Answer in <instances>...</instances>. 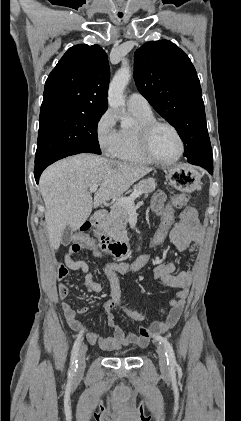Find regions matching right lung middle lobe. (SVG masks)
Returning a JSON list of instances; mask_svg holds the SVG:
<instances>
[{"label":"right lung middle lobe","instance_id":"dd1d6c3e","mask_svg":"<svg viewBox=\"0 0 241 421\" xmlns=\"http://www.w3.org/2000/svg\"><path fill=\"white\" fill-rule=\"evenodd\" d=\"M102 115L70 110L41 111L35 164L75 153L101 154L97 126Z\"/></svg>","mask_w":241,"mask_h":421}]
</instances>
